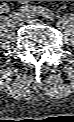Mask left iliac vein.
Masks as SVG:
<instances>
[{
    "mask_svg": "<svg viewBox=\"0 0 74 122\" xmlns=\"http://www.w3.org/2000/svg\"><path fill=\"white\" fill-rule=\"evenodd\" d=\"M18 14L22 17L23 21H27V22H38V18L33 17V16L29 15V14H26L23 11L21 13H18Z\"/></svg>",
    "mask_w": 74,
    "mask_h": 122,
    "instance_id": "4c4485c4",
    "label": "left iliac vein"
}]
</instances>
